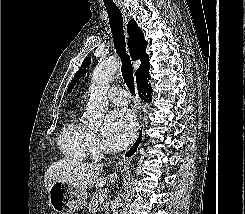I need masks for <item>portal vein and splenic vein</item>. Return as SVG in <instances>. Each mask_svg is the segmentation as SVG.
<instances>
[{
    "instance_id": "portal-vein-and-splenic-vein-1",
    "label": "portal vein and splenic vein",
    "mask_w": 245,
    "mask_h": 214,
    "mask_svg": "<svg viewBox=\"0 0 245 214\" xmlns=\"http://www.w3.org/2000/svg\"><path fill=\"white\" fill-rule=\"evenodd\" d=\"M100 204H104V198L102 196L99 197Z\"/></svg>"
}]
</instances>
